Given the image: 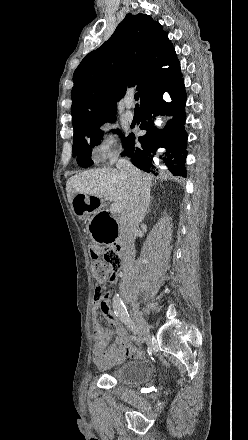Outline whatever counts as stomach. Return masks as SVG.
<instances>
[{
    "instance_id": "stomach-1",
    "label": "stomach",
    "mask_w": 248,
    "mask_h": 440,
    "mask_svg": "<svg viewBox=\"0 0 248 440\" xmlns=\"http://www.w3.org/2000/svg\"><path fill=\"white\" fill-rule=\"evenodd\" d=\"M71 205L77 218H88L86 232H91L94 246H114L119 241L121 225L114 209H98L100 199L85 194H76Z\"/></svg>"
}]
</instances>
